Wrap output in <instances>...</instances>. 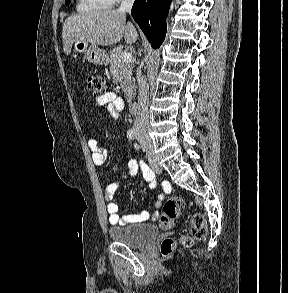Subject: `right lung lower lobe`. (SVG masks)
<instances>
[{"label": "right lung lower lobe", "mask_w": 288, "mask_h": 293, "mask_svg": "<svg viewBox=\"0 0 288 293\" xmlns=\"http://www.w3.org/2000/svg\"><path fill=\"white\" fill-rule=\"evenodd\" d=\"M171 0H135L132 17L153 48H159L166 35V15Z\"/></svg>", "instance_id": "obj_1"}]
</instances>
